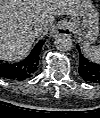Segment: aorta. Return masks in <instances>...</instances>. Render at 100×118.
Here are the masks:
<instances>
[{"mask_svg": "<svg viewBox=\"0 0 100 118\" xmlns=\"http://www.w3.org/2000/svg\"><path fill=\"white\" fill-rule=\"evenodd\" d=\"M55 46L62 52H67L72 49L73 43L67 34H59L55 38Z\"/></svg>", "mask_w": 100, "mask_h": 118, "instance_id": "aorta-1", "label": "aorta"}]
</instances>
